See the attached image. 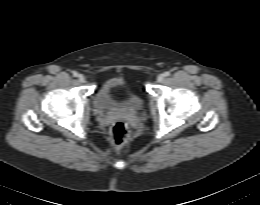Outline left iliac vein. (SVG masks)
I'll use <instances>...</instances> for the list:
<instances>
[{
    "label": "left iliac vein",
    "mask_w": 260,
    "mask_h": 205,
    "mask_svg": "<svg viewBox=\"0 0 260 205\" xmlns=\"http://www.w3.org/2000/svg\"><path fill=\"white\" fill-rule=\"evenodd\" d=\"M157 81H158L159 83H162V82L164 81V75H163V74L158 75Z\"/></svg>",
    "instance_id": "4c4485c4"
}]
</instances>
